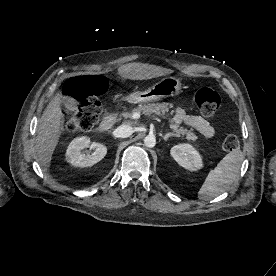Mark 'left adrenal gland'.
<instances>
[{
    "label": "left adrenal gland",
    "instance_id": "obj_1",
    "mask_svg": "<svg viewBox=\"0 0 276 276\" xmlns=\"http://www.w3.org/2000/svg\"><path fill=\"white\" fill-rule=\"evenodd\" d=\"M169 137H179V136L174 133H167L163 136V140L167 141Z\"/></svg>",
    "mask_w": 276,
    "mask_h": 276
}]
</instances>
